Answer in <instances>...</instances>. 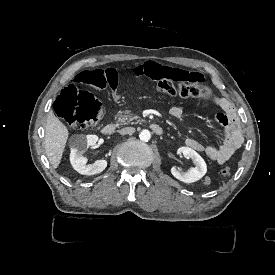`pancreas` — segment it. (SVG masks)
Instances as JSON below:
<instances>
[{
	"label": "pancreas",
	"instance_id": "cf45deb5",
	"mask_svg": "<svg viewBox=\"0 0 275 275\" xmlns=\"http://www.w3.org/2000/svg\"><path fill=\"white\" fill-rule=\"evenodd\" d=\"M119 117L117 118V122H121L122 124H134L132 121H136V123L143 122V119L139 118L136 114H130L129 111H124L118 114Z\"/></svg>",
	"mask_w": 275,
	"mask_h": 275
}]
</instances>
